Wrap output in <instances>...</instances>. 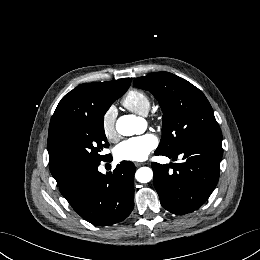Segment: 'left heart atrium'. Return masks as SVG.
<instances>
[{
	"mask_svg": "<svg viewBox=\"0 0 260 260\" xmlns=\"http://www.w3.org/2000/svg\"><path fill=\"white\" fill-rule=\"evenodd\" d=\"M157 138L153 134H144L121 142L115 148V157L124 161H143L156 148Z\"/></svg>",
	"mask_w": 260,
	"mask_h": 260,
	"instance_id": "obj_1",
	"label": "left heart atrium"
}]
</instances>
